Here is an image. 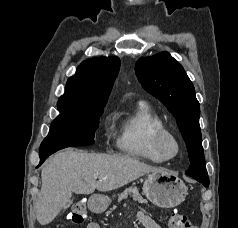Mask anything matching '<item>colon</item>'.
I'll return each mask as SVG.
<instances>
[{
    "instance_id": "obj_1",
    "label": "colon",
    "mask_w": 238,
    "mask_h": 228,
    "mask_svg": "<svg viewBox=\"0 0 238 228\" xmlns=\"http://www.w3.org/2000/svg\"><path fill=\"white\" fill-rule=\"evenodd\" d=\"M86 218V206L82 200L76 201L72 207L68 216V220L72 224H81ZM169 228H193L190 219L184 214L173 212L168 216Z\"/></svg>"
}]
</instances>
